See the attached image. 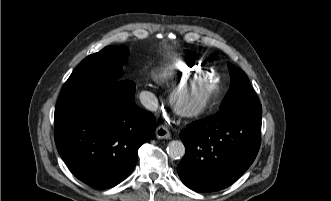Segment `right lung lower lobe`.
I'll return each mask as SVG.
<instances>
[{"label": "right lung lower lobe", "mask_w": 331, "mask_h": 201, "mask_svg": "<svg viewBox=\"0 0 331 201\" xmlns=\"http://www.w3.org/2000/svg\"><path fill=\"white\" fill-rule=\"evenodd\" d=\"M134 93L132 81H108L57 102V149L82 182L111 188L133 171L139 147L156 129L153 114L135 104Z\"/></svg>", "instance_id": "obj_1"}]
</instances>
